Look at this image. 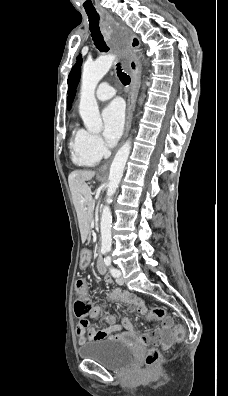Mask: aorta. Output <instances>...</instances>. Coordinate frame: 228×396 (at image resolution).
<instances>
[{
	"label": "aorta",
	"instance_id": "1",
	"mask_svg": "<svg viewBox=\"0 0 228 396\" xmlns=\"http://www.w3.org/2000/svg\"><path fill=\"white\" fill-rule=\"evenodd\" d=\"M115 61V55L109 54L99 57L92 63H86L82 71L79 113L85 128L93 133L102 129V120L95 98V89L102 77L110 70ZM131 150V141L128 140L116 153L110 166L107 200H111L123 176L124 168ZM112 214L110 207L105 205L101 215V248L110 251Z\"/></svg>",
	"mask_w": 228,
	"mask_h": 396
}]
</instances>
